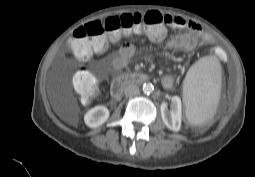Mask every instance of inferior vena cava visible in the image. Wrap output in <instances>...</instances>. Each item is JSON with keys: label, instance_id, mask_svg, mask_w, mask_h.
<instances>
[{"label": "inferior vena cava", "instance_id": "1", "mask_svg": "<svg viewBox=\"0 0 255 177\" xmlns=\"http://www.w3.org/2000/svg\"><path fill=\"white\" fill-rule=\"evenodd\" d=\"M124 92H125L126 96H134V95L139 94L140 91H139L138 86L130 84V85L125 87Z\"/></svg>", "mask_w": 255, "mask_h": 177}]
</instances>
